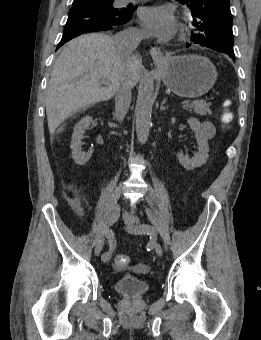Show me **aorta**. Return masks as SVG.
I'll return each mask as SVG.
<instances>
[{"mask_svg": "<svg viewBox=\"0 0 261 340\" xmlns=\"http://www.w3.org/2000/svg\"><path fill=\"white\" fill-rule=\"evenodd\" d=\"M154 80L146 81L143 88L140 90L136 102V134L138 141L145 144L149 137L151 128V114L155 101L154 96Z\"/></svg>", "mask_w": 261, "mask_h": 340, "instance_id": "762f6f07", "label": "aorta"}]
</instances>
